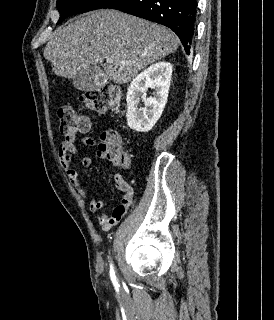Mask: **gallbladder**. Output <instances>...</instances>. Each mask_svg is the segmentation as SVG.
I'll return each instance as SVG.
<instances>
[{"label": "gallbladder", "instance_id": "obj_1", "mask_svg": "<svg viewBox=\"0 0 274 320\" xmlns=\"http://www.w3.org/2000/svg\"><path fill=\"white\" fill-rule=\"evenodd\" d=\"M73 86L76 90H101L102 85L108 84V79L102 68H77L73 74Z\"/></svg>", "mask_w": 274, "mask_h": 320}]
</instances>
